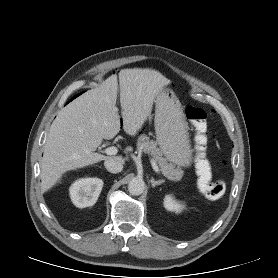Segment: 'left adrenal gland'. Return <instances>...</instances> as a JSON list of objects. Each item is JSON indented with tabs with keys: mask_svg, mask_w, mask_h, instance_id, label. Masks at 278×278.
I'll use <instances>...</instances> for the list:
<instances>
[{
	"mask_svg": "<svg viewBox=\"0 0 278 278\" xmlns=\"http://www.w3.org/2000/svg\"><path fill=\"white\" fill-rule=\"evenodd\" d=\"M150 182L151 186L154 188L155 186L163 184L164 180H154L153 178H151Z\"/></svg>",
	"mask_w": 278,
	"mask_h": 278,
	"instance_id": "left-adrenal-gland-1",
	"label": "left adrenal gland"
}]
</instances>
